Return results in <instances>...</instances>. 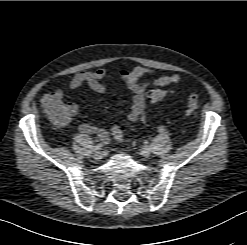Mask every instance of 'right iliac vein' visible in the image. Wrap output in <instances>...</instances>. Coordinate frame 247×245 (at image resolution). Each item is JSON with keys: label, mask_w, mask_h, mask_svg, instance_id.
I'll return each mask as SVG.
<instances>
[{"label": "right iliac vein", "mask_w": 247, "mask_h": 245, "mask_svg": "<svg viewBox=\"0 0 247 245\" xmlns=\"http://www.w3.org/2000/svg\"><path fill=\"white\" fill-rule=\"evenodd\" d=\"M102 156H103V154H102V152L100 150L95 151L94 154H93V158L96 159V160L101 159Z\"/></svg>", "instance_id": "obj_1"}]
</instances>
